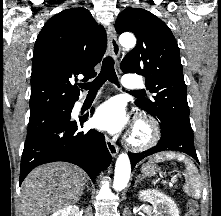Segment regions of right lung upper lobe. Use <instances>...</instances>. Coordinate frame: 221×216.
Instances as JSON below:
<instances>
[{
    "instance_id": "1",
    "label": "right lung upper lobe",
    "mask_w": 221,
    "mask_h": 216,
    "mask_svg": "<svg viewBox=\"0 0 221 216\" xmlns=\"http://www.w3.org/2000/svg\"><path fill=\"white\" fill-rule=\"evenodd\" d=\"M105 29L82 7L50 18L39 33L33 53L30 115L69 106L79 99L74 82L93 78L105 52Z\"/></svg>"
}]
</instances>
